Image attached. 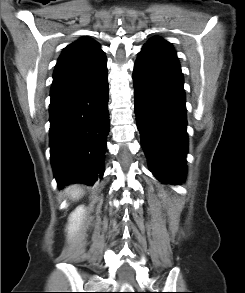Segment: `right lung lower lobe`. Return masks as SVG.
Masks as SVG:
<instances>
[{"label": "right lung lower lobe", "instance_id": "obj_1", "mask_svg": "<svg viewBox=\"0 0 245 293\" xmlns=\"http://www.w3.org/2000/svg\"><path fill=\"white\" fill-rule=\"evenodd\" d=\"M108 70L51 96L50 153L58 186L93 185L104 173L110 129Z\"/></svg>", "mask_w": 245, "mask_h": 293}]
</instances>
